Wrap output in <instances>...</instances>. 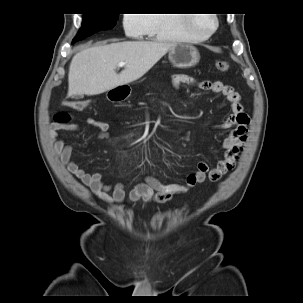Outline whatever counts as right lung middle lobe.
Segmentation results:
<instances>
[{
	"label": "right lung middle lobe",
	"mask_w": 303,
	"mask_h": 303,
	"mask_svg": "<svg viewBox=\"0 0 303 303\" xmlns=\"http://www.w3.org/2000/svg\"><path fill=\"white\" fill-rule=\"evenodd\" d=\"M118 17V13L84 14L82 26L73 41L76 42L98 31L113 28Z\"/></svg>",
	"instance_id": "obj_1"
}]
</instances>
